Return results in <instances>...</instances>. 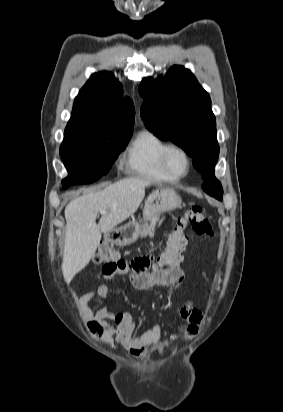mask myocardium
I'll use <instances>...</instances> for the list:
<instances>
[{"mask_svg": "<svg viewBox=\"0 0 283 412\" xmlns=\"http://www.w3.org/2000/svg\"><path fill=\"white\" fill-rule=\"evenodd\" d=\"M173 152H179L181 153L185 159H186V169L184 172L178 173L175 172L169 164V158L170 155ZM161 166L163 168V170L165 171V173L167 175H169L172 178L178 179V178H182L185 177L191 170L192 167V157L189 153V151L184 148L181 145L178 144H169L163 151L162 156H161Z\"/></svg>", "mask_w": 283, "mask_h": 412, "instance_id": "1", "label": "myocardium"}]
</instances>
